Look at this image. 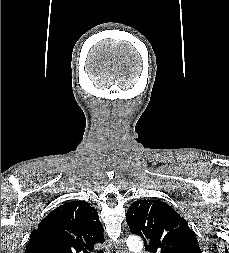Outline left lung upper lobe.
Masks as SVG:
<instances>
[{
	"label": "left lung upper lobe",
	"instance_id": "1",
	"mask_svg": "<svg viewBox=\"0 0 229 253\" xmlns=\"http://www.w3.org/2000/svg\"><path fill=\"white\" fill-rule=\"evenodd\" d=\"M133 234L144 239L152 253H202L187 222L172 207L159 200H137L127 211Z\"/></svg>",
	"mask_w": 229,
	"mask_h": 253
}]
</instances>
